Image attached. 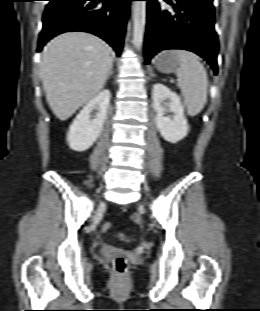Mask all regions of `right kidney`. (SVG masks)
Here are the masks:
<instances>
[{
    "instance_id": "obj_1",
    "label": "right kidney",
    "mask_w": 260,
    "mask_h": 311,
    "mask_svg": "<svg viewBox=\"0 0 260 311\" xmlns=\"http://www.w3.org/2000/svg\"><path fill=\"white\" fill-rule=\"evenodd\" d=\"M110 98V91L104 89L91 99L76 116L67 134V142L72 150L78 152L85 151L100 136L103 124L107 118ZM96 106L99 107V112L94 119H91L90 114Z\"/></svg>"
}]
</instances>
